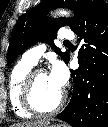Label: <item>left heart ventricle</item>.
<instances>
[{"label": "left heart ventricle", "instance_id": "b2bd125f", "mask_svg": "<svg viewBox=\"0 0 108 127\" xmlns=\"http://www.w3.org/2000/svg\"><path fill=\"white\" fill-rule=\"evenodd\" d=\"M62 90L51 81L48 74H40L34 86V100L41 109H50L58 101Z\"/></svg>", "mask_w": 108, "mask_h": 127}]
</instances>
